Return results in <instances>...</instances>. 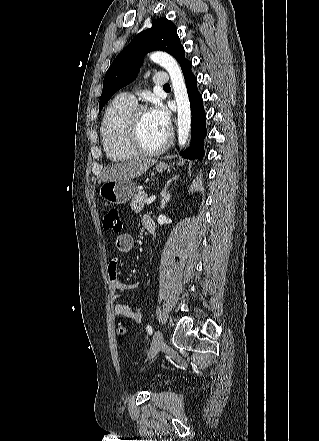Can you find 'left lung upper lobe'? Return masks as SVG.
<instances>
[{"instance_id":"5c2ea615","label":"left lung upper lobe","mask_w":319,"mask_h":441,"mask_svg":"<svg viewBox=\"0 0 319 441\" xmlns=\"http://www.w3.org/2000/svg\"><path fill=\"white\" fill-rule=\"evenodd\" d=\"M154 50L171 54L181 67L188 61L175 24L167 18L154 20L152 28L137 34L109 67L103 82L99 112L115 92L137 77L144 55Z\"/></svg>"}]
</instances>
